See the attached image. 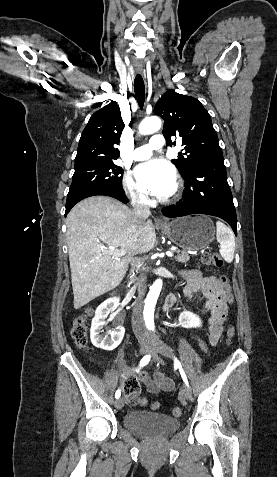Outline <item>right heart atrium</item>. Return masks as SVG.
Instances as JSON below:
<instances>
[{
	"label": "right heart atrium",
	"instance_id": "right-heart-atrium-1",
	"mask_svg": "<svg viewBox=\"0 0 277 477\" xmlns=\"http://www.w3.org/2000/svg\"><path fill=\"white\" fill-rule=\"evenodd\" d=\"M124 190L128 198L137 204H147L149 202V196L145 190H143L130 175L124 177Z\"/></svg>",
	"mask_w": 277,
	"mask_h": 477
}]
</instances>
